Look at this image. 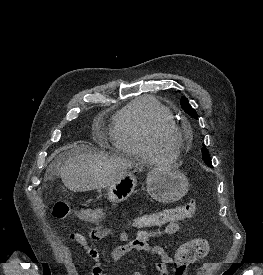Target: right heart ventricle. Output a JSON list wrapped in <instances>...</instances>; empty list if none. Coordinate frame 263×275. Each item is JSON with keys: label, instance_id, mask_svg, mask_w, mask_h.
I'll list each match as a JSON object with an SVG mask.
<instances>
[{"label": "right heart ventricle", "instance_id": "e07e8e85", "mask_svg": "<svg viewBox=\"0 0 263 275\" xmlns=\"http://www.w3.org/2000/svg\"><path fill=\"white\" fill-rule=\"evenodd\" d=\"M176 124L172 113L156 98L145 96L124 106L114 117L111 140L114 147L144 159H173L177 150L158 145L153 138L156 127Z\"/></svg>", "mask_w": 263, "mask_h": 275}]
</instances>
